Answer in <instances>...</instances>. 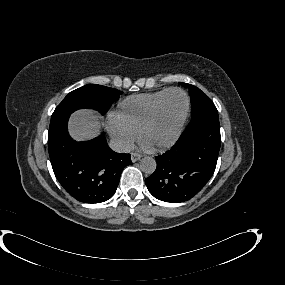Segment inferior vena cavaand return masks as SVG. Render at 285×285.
<instances>
[{
	"label": "inferior vena cava",
	"instance_id": "inferior-vena-cava-1",
	"mask_svg": "<svg viewBox=\"0 0 285 285\" xmlns=\"http://www.w3.org/2000/svg\"><path fill=\"white\" fill-rule=\"evenodd\" d=\"M109 147L118 153H128L133 149L134 145L122 137H114L110 140Z\"/></svg>",
	"mask_w": 285,
	"mask_h": 285
}]
</instances>
